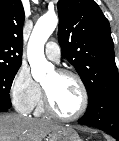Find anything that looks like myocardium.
I'll use <instances>...</instances> for the list:
<instances>
[{
    "label": "myocardium",
    "instance_id": "obj_1",
    "mask_svg": "<svg viewBox=\"0 0 119 141\" xmlns=\"http://www.w3.org/2000/svg\"><path fill=\"white\" fill-rule=\"evenodd\" d=\"M55 72L60 76L72 77L78 83L80 90H81V94H82L81 106H80L79 110L72 115L61 114L53 107V105L50 101V98H49L45 88L43 87V106H44V109L48 114H50L51 116L58 118L60 120H65V121L77 120L80 117H82L88 109L89 94H88L87 87H86L84 81L82 80V78L77 73H75L71 70L57 69Z\"/></svg>",
    "mask_w": 119,
    "mask_h": 141
}]
</instances>
